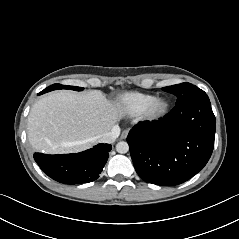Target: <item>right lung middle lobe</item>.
Returning <instances> with one entry per match:
<instances>
[{
    "mask_svg": "<svg viewBox=\"0 0 239 239\" xmlns=\"http://www.w3.org/2000/svg\"><path fill=\"white\" fill-rule=\"evenodd\" d=\"M56 89H71V90H77V91L83 90L82 87L66 86V85H61V84H53V85L47 87L45 90H43L42 93H46V92L56 90Z\"/></svg>",
    "mask_w": 239,
    "mask_h": 239,
    "instance_id": "1",
    "label": "right lung middle lobe"
}]
</instances>
